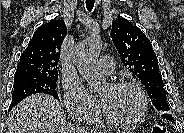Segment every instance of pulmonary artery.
<instances>
[{
	"mask_svg": "<svg viewBox=\"0 0 184 133\" xmlns=\"http://www.w3.org/2000/svg\"><path fill=\"white\" fill-rule=\"evenodd\" d=\"M97 68L99 69V71H101L104 74H107V75L113 74L115 70V66H114V61L112 57L108 55L101 56L97 63Z\"/></svg>",
	"mask_w": 184,
	"mask_h": 133,
	"instance_id": "1",
	"label": "pulmonary artery"
}]
</instances>
